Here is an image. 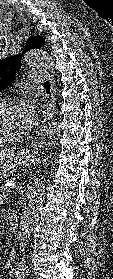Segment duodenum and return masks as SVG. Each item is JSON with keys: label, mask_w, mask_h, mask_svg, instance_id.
<instances>
[{"label": "duodenum", "mask_w": 113, "mask_h": 279, "mask_svg": "<svg viewBox=\"0 0 113 279\" xmlns=\"http://www.w3.org/2000/svg\"><path fill=\"white\" fill-rule=\"evenodd\" d=\"M9 228L12 233H16L19 229V213L15 210L11 211L8 216Z\"/></svg>", "instance_id": "obj_1"}]
</instances>
